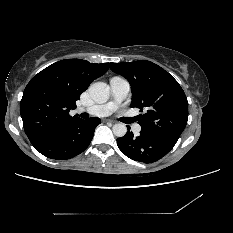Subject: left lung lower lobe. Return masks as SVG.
<instances>
[{
	"mask_svg": "<svg viewBox=\"0 0 233 233\" xmlns=\"http://www.w3.org/2000/svg\"><path fill=\"white\" fill-rule=\"evenodd\" d=\"M128 128V127H127ZM177 140L156 136L141 130L140 135L127 131L126 135L117 139L119 149L129 158L153 163L164 157L176 144Z\"/></svg>",
	"mask_w": 233,
	"mask_h": 233,
	"instance_id": "obj_1",
	"label": "left lung lower lobe"
}]
</instances>
